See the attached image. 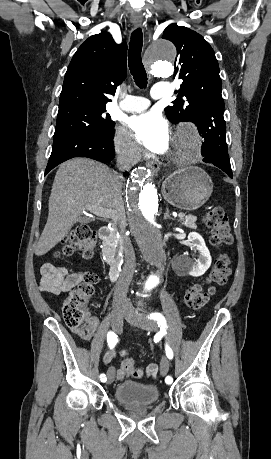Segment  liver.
<instances>
[{"label":"liver","mask_w":271,"mask_h":459,"mask_svg":"<svg viewBox=\"0 0 271 459\" xmlns=\"http://www.w3.org/2000/svg\"><path fill=\"white\" fill-rule=\"evenodd\" d=\"M119 184L121 180L116 174L95 160L72 158L61 164L49 198L48 220L35 247L36 255L47 253L61 241L86 210L106 208L113 214L114 200H121V196H116Z\"/></svg>","instance_id":"6515ba94"}]
</instances>
